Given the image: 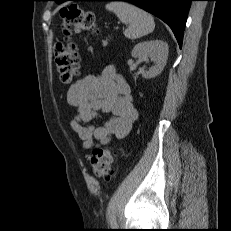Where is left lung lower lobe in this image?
<instances>
[{"label": "left lung lower lobe", "instance_id": "0a47b994", "mask_svg": "<svg viewBox=\"0 0 231 231\" xmlns=\"http://www.w3.org/2000/svg\"><path fill=\"white\" fill-rule=\"evenodd\" d=\"M68 0H63L65 2ZM85 1V0H84ZM86 1H126L157 16L172 29L179 46L187 20V14L193 0H86ZM61 2V3H62Z\"/></svg>", "mask_w": 231, "mask_h": 231}]
</instances>
